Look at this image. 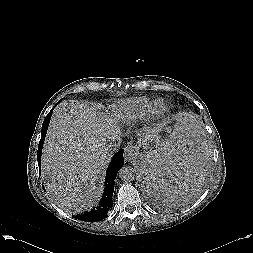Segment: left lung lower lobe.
<instances>
[{
  "instance_id": "0a47b994",
  "label": "left lung lower lobe",
  "mask_w": 253,
  "mask_h": 253,
  "mask_svg": "<svg viewBox=\"0 0 253 253\" xmlns=\"http://www.w3.org/2000/svg\"><path fill=\"white\" fill-rule=\"evenodd\" d=\"M200 160L192 158L181 167L172 168L163 161L150 164L144 174V183L152 198L164 204L176 199L186 198L200 173ZM163 201V203H162Z\"/></svg>"
}]
</instances>
